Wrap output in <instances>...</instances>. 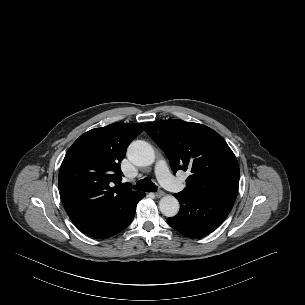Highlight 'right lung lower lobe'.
Returning <instances> with one entry per match:
<instances>
[{
  "instance_id": "98d812e1",
  "label": "right lung lower lobe",
  "mask_w": 305,
  "mask_h": 305,
  "mask_svg": "<svg viewBox=\"0 0 305 305\" xmlns=\"http://www.w3.org/2000/svg\"><path fill=\"white\" fill-rule=\"evenodd\" d=\"M144 196L145 194L140 192L131 202L110 216L77 227L93 238L104 239L111 237L130 225L135 215L136 205Z\"/></svg>"
}]
</instances>
